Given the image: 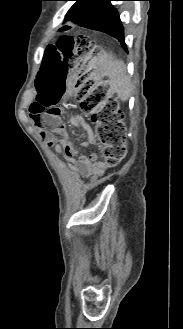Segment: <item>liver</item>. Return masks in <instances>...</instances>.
I'll list each match as a JSON object with an SVG mask.
<instances>
[{
  "label": "liver",
  "mask_w": 183,
  "mask_h": 329,
  "mask_svg": "<svg viewBox=\"0 0 183 329\" xmlns=\"http://www.w3.org/2000/svg\"><path fill=\"white\" fill-rule=\"evenodd\" d=\"M82 60L84 63L88 62L84 66L85 72L91 71L90 75L95 79L108 77L106 81L100 83L102 86H109L108 94L116 93L123 102L128 100L131 83L122 60L105 51H100L94 57L91 54L85 55Z\"/></svg>",
  "instance_id": "1"
}]
</instances>
